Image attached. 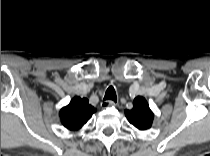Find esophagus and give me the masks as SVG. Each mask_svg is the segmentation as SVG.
Segmentation results:
<instances>
[{
    "mask_svg": "<svg viewBox=\"0 0 210 156\" xmlns=\"http://www.w3.org/2000/svg\"><path fill=\"white\" fill-rule=\"evenodd\" d=\"M101 107L102 108H107V107H109V106H114L115 105V103H114V101H108V100H104V101H102L101 102Z\"/></svg>",
    "mask_w": 210,
    "mask_h": 156,
    "instance_id": "esophagus-1",
    "label": "esophagus"
}]
</instances>
